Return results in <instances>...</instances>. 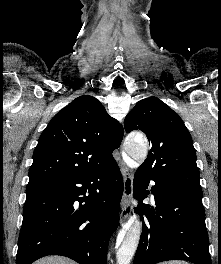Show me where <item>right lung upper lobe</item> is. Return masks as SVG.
I'll return each mask as SVG.
<instances>
[{
	"label": "right lung upper lobe",
	"instance_id": "right-lung-upper-lobe-1",
	"mask_svg": "<svg viewBox=\"0 0 221 264\" xmlns=\"http://www.w3.org/2000/svg\"><path fill=\"white\" fill-rule=\"evenodd\" d=\"M122 138V126L99 100L89 95L74 99L51 119L39 137L27 187L89 173L107 164Z\"/></svg>",
	"mask_w": 221,
	"mask_h": 264
}]
</instances>
